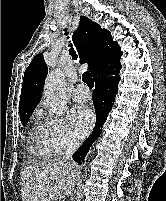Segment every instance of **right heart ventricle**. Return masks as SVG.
I'll return each instance as SVG.
<instances>
[{"label": "right heart ventricle", "mask_w": 166, "mask_h": 201, "mask_svg": "<svg viewBox=\"0 0 166 201\" xmlns=\"http://www.w3.org/2000/svg\"><path fill=\"white\" fill-rule=\"evenodd\" d=\"M32 138L34 142L33 152L35 155L43 159H49L56 155L55 151L47 142L43 130V124H38L33 128Z\"/></svg>", "instance_id": "obj_1"}]
</instances>
